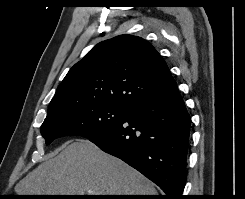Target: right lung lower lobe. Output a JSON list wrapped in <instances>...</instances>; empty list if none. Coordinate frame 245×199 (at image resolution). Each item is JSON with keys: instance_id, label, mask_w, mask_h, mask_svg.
Instances as JSON below:
<instances>
[{"instance_id": "right-lung-lower-lobe-1", "label": "right lung lower lobe", "mask_w": 245, "mask_h": 199, "mask_svg": "<svg viewBox=\"0 0 245 199\" xmlns=\"http://www.w3.org/2000/svg\"><path fill=\"white\" fill-rule=\"evenodd\" d=\"M190 125L176 88L129 108L120 121L87 138L157 184L165 199H183Z\"/></svg>"}]
</instances>
